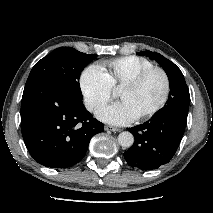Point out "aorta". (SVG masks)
<instances>
[{"instance_id":"aorta-1","label":"aorta","mask_w":213,"mask_h":213,"mask_svg":"<svg viewBox=\"0 0 213 213\" xmlns=\"http://www.w3.org/2000/svg\"><path fill=\"white\" fill-rule=\"evenodd\" d=\"M118 143L124 148L131 147L134 143V137L132 133L128 131L121 132L118 136Z\"/></svg>"}]
</instances>
